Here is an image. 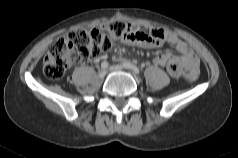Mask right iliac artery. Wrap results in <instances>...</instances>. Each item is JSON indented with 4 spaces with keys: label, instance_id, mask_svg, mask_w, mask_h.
Returning <instances> with one entry per match:
<instances>
[{
    "label": "right iliac artery",
    "instance_id": "82829eb1",
    "mask_svg": "<svg viewBox=\"0 0 238 158\" xmlns=\"http://www.w3.org/2000/svg\"><path fill=\"white\" fill-rule=\"evenodd\" d=\"M101 68L104 69V70L107 69L108 68V62H106V61L102 62L101 63Z\"/></svg>",
    "mask_w": 238,
    "mask_h": 158
}]
</instances>
